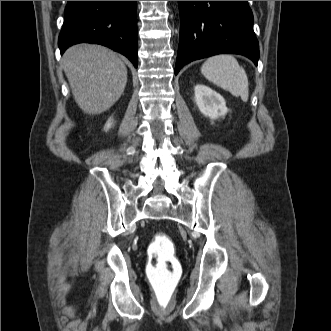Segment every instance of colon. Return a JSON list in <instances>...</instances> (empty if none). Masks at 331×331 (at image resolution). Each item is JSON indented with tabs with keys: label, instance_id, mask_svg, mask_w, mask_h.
Here are the masks:
<instances>
[{
	"label": "colon",
	"instance_id": "1",
	"mask_svg": "<svg viewBox=\"0 0 331 331\" xmlns=\"http://www.w3.org/2000/svg\"><path fill=\"white\" fill-rule=\"evenodd\" d=\"M148 255L146 272L155 304L160 308H167L174 301L182 273L172 240L166 234H156L149 246Z\"/></svg>",
	"mask_w": 331,
	"mask_h": 331
}]
</instances>
